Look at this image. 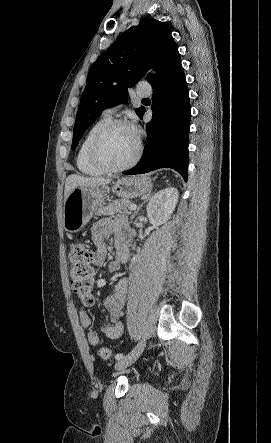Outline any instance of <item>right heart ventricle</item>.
<instances>
[{
    "label": "right heart ventricle",
    "mask_w": 271,
    "mask_h": 443,
    "mask_svg": "<svg viewBox=\"0 0 271 443\" xmlns=\"http://www.w3.org/2000/svg\"><path fill=\"white\" fill-rule=\"evenodd\" d=\"M111 120L109 115H103L96 120L87 130L82 138L75 156L77 169L84 175L97 177L104 173L102 169L96 166L90 157V146L99 130Z\"/></svg>",
    "instance_id": "1"
}]
</instances>
